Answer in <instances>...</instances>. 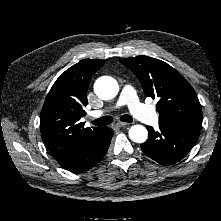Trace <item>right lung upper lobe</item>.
<instances>
[{"mask_svg": "<svg viewBox=\"0 0 221 221\" xmlns=\"http://www.w3.org/2000/svg\"><path fill=\"white\" fill-rule=\"evenodd\" d=\"M104 65L102 60L83 59L53 84L41 114L40 129L48 149L59 161L86 144L101 128H84L80 122L88 104L87 90L93 74Z\"/></svg>", "mask_w": 221, "mask_h": 221, "instance_id": "right-lung-upper-lobe-1", "label": "right lung upper lobe"}]
</instances>
